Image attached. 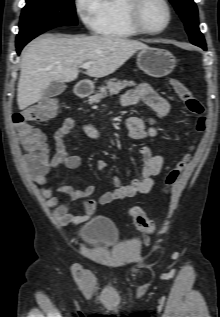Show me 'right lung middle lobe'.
Here are the masks:
<instances>
[{
  "label": "right lung middle lobe",
  "instance_id": "dd1d6c3e",
  "mask_svg": "<svg viewBox=\"0 0 220 317\" xmlns=\"http://www.w3.org/2000/svg\"><path fill=\"white\" fill-rule=\"evenodd\" d=\"M75 25L77 19L74 0H26L16 41L44 29Z\"/></svg>",
  "mask_w": 220,
  "mask_h": 317
}]
</instances>
